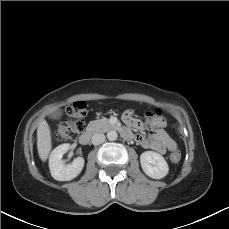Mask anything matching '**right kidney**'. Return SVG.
Instances as JSON below:
<instances>
[{
  "instance_id": "obj_1",
  "label": "right kidney",
  "mask_w": 229,
  "mask_h": 229,
  "mask_svg": "<svg viewBox=\"0 0 229 229\" xmlns=\"http://www.w3.org/2000/svg\"><path fill=\"white\" fill-rule=\"evenodd\" d=\"M70 148L68 143L61 144L50 154L49 168L55 180L70 181L77 177L83 169L84 158L82 157H77L71 164H64L62 157Z\"/></svg>"
}]
</instances>
